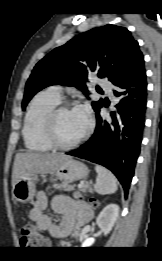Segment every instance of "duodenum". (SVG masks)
<instances>
[{
  "label": "duodenum",
  "mask_w": 162,
  "mask_h": 261,
  "mask_svg": "<svg viewBox=\"0 0 162 261\" xmlns=\"http://www.w3.org/2000/svg\"><path fill=\"white\" fill-rule=\"evenodd\" d=\"M62 232L63 233H68V230L64 227Z\"/></svg>",
  "instance_id": "1"
}]
</instances>
